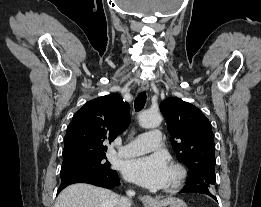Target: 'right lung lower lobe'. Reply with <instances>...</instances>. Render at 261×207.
<instances>
[{"label":"right lung lower lobe","instance_id":"98d812e1","mask_svg":"<svg viewBox=\"0 0 261 207\" xmlns=\"http://www.w3.org/2000/svg\"><path fill=\"white\" fill-rule=\"evenodd\" d=\"M74 183H88L96 186L112 189L120 184L117 172L95 173V174H76L64 177L61 180L57 194L66 186Z\"/></svg>","mask_w":261,"mask_h":207}]
</instances>
